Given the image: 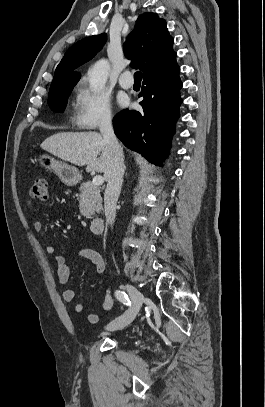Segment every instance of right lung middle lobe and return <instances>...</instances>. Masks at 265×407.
Listing matches in <instances>:
<instances>
[{"label": "right lung middle lobe", "mask_w": 265, "mask_h": 407, "mask_svg": "<svg viewBox=\"0 0 265 407\" xmlns=\"http://www.w3.org/2000/svg\"><path fill=\"white\" fill-rule=\"evenodd\" d=\"M77 83L62 82L52 85L48 95V105L54 112H63L67 99Z\"/></svg>", "instance_id": "obj_1"}]
</instances>
